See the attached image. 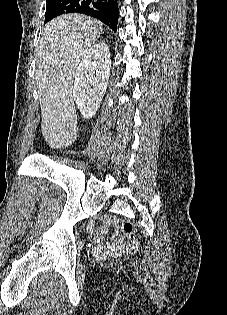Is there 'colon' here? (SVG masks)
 I'll return each mask as SVG.
<instances>
[{"label":"colon","mask_w":227,"mask_h":315,"mask_svg":"<svg viewBox=\"0 0 227 315\" xmlns=\"http://www.w3.org/2000/svg\"><path fill=\"white\" fill-rule=\"evenodd\" d=\"M119 226L122 232V237L127 244V250L130 253H135L138 249V242L136 239V231L133 222L123 219L120 220Z\"/></svg>","instance_id":"5ec220e1"}]
</instances>
